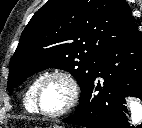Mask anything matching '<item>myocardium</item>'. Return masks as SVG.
Returning a JSON list of instances; mask_svg holds the SVG:
<instances>
[{
    "label": "myocardium",
    "instance_id": "f54148a6",
    "mask_svg": "<svg viewBox=\"0 0 142 128\" xmlns=\"http://www.w3.org/2000/svg\"><path fill=\"white\" fill-rule=\"evenodd\" d=\"M57 77L62 79L68 86L69 98L66 105L57 112H46L40 107L39 97L42 83L49 78ZM80 96V88L75 77L63 69H54L41 74L34 93V103L36 112L48 118H58L69 113L77 104Z\"/></svg>",
    "mask_w": 142,
    "mask_h": 128
}]
</instances>
